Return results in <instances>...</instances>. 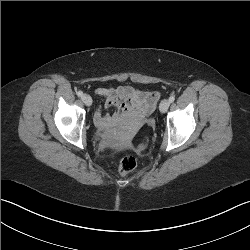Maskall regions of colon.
Listing matches in <instances>:
<instances>
[{
	"mask_svg": "<svg viewBox=\"0 0 250 250\" xmlns=\"http://www.w3.org/2000/svg\"><path fill=\"white\" fill-rule=\"evenodd\" d=\"M149 126H152V123L149 122L148 123ZM115 137V132L114 131H108L107 132V140L109 138H114ZM147 137H145V139L142 141V143H140L135 151L137 153L141 152L147 145ZM108 144L105 143L104 146L106 147ZM137 165V160L135 158V156L133 155H127V156H124L121 160H120V163H119V173L121 175H126L127 173L131 172Z\"/></svg>",
	"mask_w": 250,
	"mask_h": 250,
	"instance_id": "colon-1",
	"label": "colon"
}]
</instances>
